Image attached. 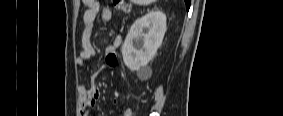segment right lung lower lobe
Here are the masks:
<instances>
[{"instance_id": "obj_1", "label": "right lung lower lobe", "mask_w": 283, "mask_h": 116, "mask_svg": "<svg viewBox=\"0 0 283 116\" xmlns=\"http://www.w3.org/2000/svg\"><path fill=\"white\" fill-rule=\"evenodd\" d=\"M190 1H191V0H185L187 10H189V7H190Z\"/></svg>"}]
</instances>
